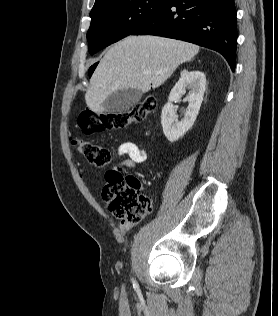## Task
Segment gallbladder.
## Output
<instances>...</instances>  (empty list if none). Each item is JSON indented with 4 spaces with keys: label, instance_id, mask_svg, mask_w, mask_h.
I'll return each mask as SVG.
<instances>
[{
    "label": "gallbladder",
    "instance_id": "obj_1",
    "mask_svg": "<svg viewBox=\"0 0 278 316\" xmlns=\"http://www.w3.org/2000/svg\"><path fill=\"white\" fill-rule=\"evenodd\" d=\"M142 92L136 89H122L110 94L103 103L107 113H123L135 106L141 99Z\"/></svg>",
    "mask_w": 278,
    "mask_h": 316
}]
</instances>
